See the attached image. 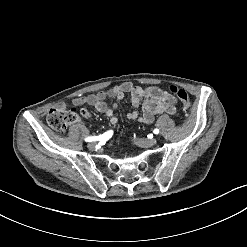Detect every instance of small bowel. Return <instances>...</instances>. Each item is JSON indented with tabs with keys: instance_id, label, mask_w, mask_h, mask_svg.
Masks as SVG:
<instances>
[{
	"instance_id": "1",
	"label": "small bowel",
	"mask_w": 247,
	"mask_h": 247,
	"mask_svg": "<svg viewBox=\"0 0 247 247\" xmlns=\"http://www.w3.org/2000/svg\"><path fill=\"white\" fill-rule=\"evenodd\" d=\"M126 95H129L133 106L142 109L140 117L135 111L129 112L127 114V119L129 120L138 119L141 123L151 124L157 114L167 113L174 115L176 113V98L173 95L155 86L143 88L131 82H123L108 90L77 97L73 100V104L76 106L89 105L96 111L106 114L109 122L112 125H116L118 118L115 111ZM108 98L114 99V103L111 106L105 102ZM65 106V103L59 104L61 108ZM80 114L84 118L91 117V111L87 108H82Z\"/></svg>"
}]
</instances>
